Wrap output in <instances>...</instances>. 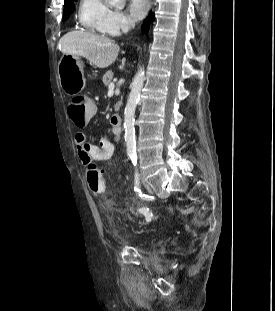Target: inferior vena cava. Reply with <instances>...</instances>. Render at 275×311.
Returning a JSON list of instances; mask_svg holds the SVG:
<instances>
[{"mask_svg": "<svg viewBox=\"0 0 275 311\" xmlns=\"http://www.w3.org/2000/svg\"><path fill=\"white\" fill-rule=\"evenodd\" d=\"M121 28H122V31L123 32H128L129 31V29H130V23L129 22H127V21H125L122 25H121Z\"/></svg>", "mask_w": 275, "mask_h": 311, "instance_id": "1", "label": "inferior vena cava"}]
</instances>
